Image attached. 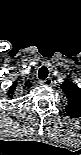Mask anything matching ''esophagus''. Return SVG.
<instances>
[{"mask_svg": "<svg viewBox=\"0 0 81 155\" xmlns=\"http://www.w3.org/2000/svg\"><path fill=\"white\" fill-rule=\"evenodd\" d=\"M40 84L46 85V86H50V85H52V79L51 78H47V79L41 80Z\"/></svg>", "mask_w": 81, "mask_h": 155, "instance_id": "obj_1", "label": "esophagus"}]
</instances>
